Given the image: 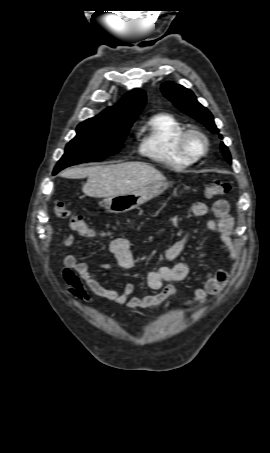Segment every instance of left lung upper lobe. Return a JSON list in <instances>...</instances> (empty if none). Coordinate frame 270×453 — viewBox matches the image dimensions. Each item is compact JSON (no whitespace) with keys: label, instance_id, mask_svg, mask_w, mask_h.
<instances>
[{"label":"left lung upper lobe","instance_id":"5c2ea615","mask_svg":"<svg viewBox=\"0 0 270 453\" xmlns=\"http://www.w3.org/2000/svg\"><path fill=\"white\" fill-rule=\"evenodd\" d=\"M161 89L165 97L173 102L182 112L203 123L211 132H219L214 123L212 114L197 101L191 90L170 82L162 84ZM220 149L227 161L231 163L228 148L221 143Z\"/></svg>","mask_w":270,"mask_h":453}]
</instances>
